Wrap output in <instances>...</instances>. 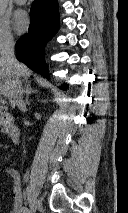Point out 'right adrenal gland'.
Returning <instances> with one entry per match:
<instances>
[{
	"label": "right adrenal gland",
	"instance_id": "2a0ac1e0",
	"mask_svg": "<svg viewBox=\"0 0 128 213\" xmlns=\"http://www.w3.org/2000/svg\"><path fill=\"white\" fill-rule=\"evenodd\" d=\"M24 92H25V94H26L25 103H26V104H29V101H28L29 95H31V94H33V93H38V90L32 89L31 85H30V84H27V85L25 86Z\"/></svg>",
	"mask_w": 128,
	"mask_h": 213
}]
</instances>
